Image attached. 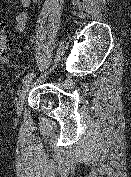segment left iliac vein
I'll use <instances>...</instances> for the list:
<instances>
[{"instance_id":"left-iliac-vein-1","label":"left iliac vein","mask_w":131,"mask_h":177,"mask_svg":"<svg viewBox=\"0 0 131 177\" xmlns=\"http://www.w3.org/2000/svg\"><path fill=\"white\" fill-rule=\"evenodd\" d=\"M33 85H34V80L31 79V80L27 81L23 85L22 89L20 90V92H19V98H18V102H17V111H18V113L20 112L22 104H23V102H24V100H25V98H26L29 90L31 89V87Z\"/></svg>"}]
</instances>
